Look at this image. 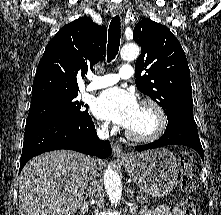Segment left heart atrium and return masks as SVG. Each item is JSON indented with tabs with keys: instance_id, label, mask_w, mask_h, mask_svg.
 <instances>
[{
	"instance_id": "1",
	"label": "left heart atrium",
	"mask_w": 221,
	"mask_h": 215,
	"mask_svg": "<svg viewBox=\"0 0 221 215\" xmlns=\"http://www.w3.org/2000/svg\"><path fill=\"white\" fill-rule=\"evenodd\" d=\"M139 109L135 96L120 88H111L96 99L93 112L96 116L128 128Z\"/></svg>"
}]
</instances>
